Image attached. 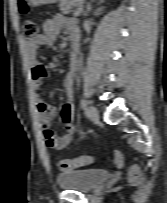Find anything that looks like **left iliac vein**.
<instances>
[{"instance_id": "left-iliac-vein-1", "label": "left iliac vein", "mask_w": 167, "mask_h": 203, "mask_svg": "<svg viewBox=\"0 0 167 203\" xmlns=\"http://www.w3.org/2000/svg\"><path fill=\"white\" fill-rule=\"evenodd\" d=\"M87 117L92 122H97L99 120V114L94 106H89L87 109Z\"/></svg>"}]
</instances>
